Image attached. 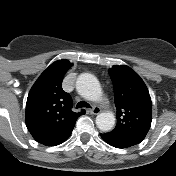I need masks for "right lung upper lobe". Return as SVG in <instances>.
Returning <instances> with one entry per match:
<instances>
[{
	"mask_svg": "<svg viewBox=\"0 0 176 176\" xmlns=\"http://www.w3.org/2000/svg\"><path fill=\"white\" fill-rule=\"evenodd\" d=\"M69 68L66 61L53 63L29 93L27 127L32 136L42 144H59L70 135L79 116V113L71 110L70 95L62 90V79Z\"/></svg>",
	"mask_w": 176,
	"mask_h": 176,
	"instance_id": "cb5924a9",
	"label": "right lung upper lobe"
}]
</instances>
